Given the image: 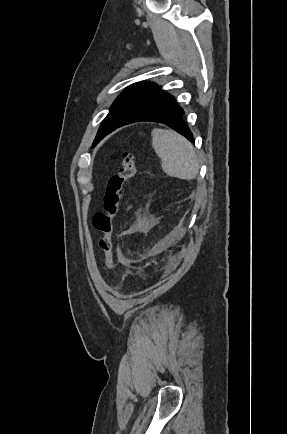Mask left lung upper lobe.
<instances>
[{"mask_svg":"<svg viewBox=\"0 0 287 434\" xmlns=\"http://www.w3.org/2000/svg\"><path fill=\"white\" fill-rule=\"evenodd\" d=\"M167 96L169 95L161 92L155 83H134L130 85L113 103L98 130L93 146L107 134L120 127L132 115L155 102L165 99Z\"/></svg>","mask_w":287,"mask_h":434,"instance_id":"left-lung-upper-lobe-1","label":"left lung upper lobe"}]
</instances>
